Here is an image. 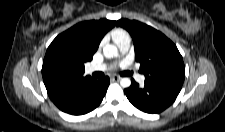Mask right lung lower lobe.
Segmentation results:
<instances>
[{
    "instance_id": "right-lung-lower-lobe-1",
    "label": "right lung lower lobe",
    "mask_w": 225,
    "mask_h": 132,
    "mask_svg": "<svg viewBox=\"0 0 225 132\" xmlns=\"http://www.w3.org/2000/svg\"><path fill=\"white\" fill-rule=\"evenodd\" d=\"M109 86V77L89 78L51 98L63 112L83 115L94 110L103 100Z\"/></svg>"
}]
</instances>
